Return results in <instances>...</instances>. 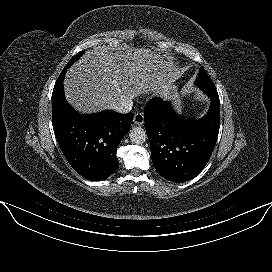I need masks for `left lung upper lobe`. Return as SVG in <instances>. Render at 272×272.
I'll return each instance as SVG.
<instances>
[{"instance_id":"1","label":"left lung upper lobe","mask_w":272,"mask_h":272,"mask_svg":"<svg viewBox=\"0 0 272 272\" xmlns=\"http://www.w3.org/2000/svg\"><path fill=\"white\" fill-rule=\"evenodd\" d=\"M195 84H197L200 87H205V86H212L213 83L204 71V69L201 67L199 71V76L195 81Z\"/></svg>"}]
</instances>
